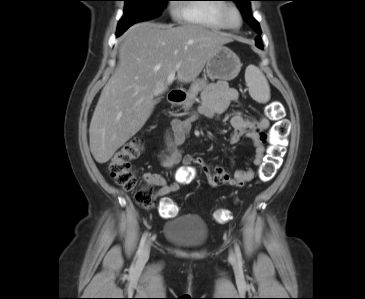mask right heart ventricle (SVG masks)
<instances>
[{"label": "right heart ventricle", "mask_w": 365, "mask_h": 299, "mask_svg": "<svg viewBox=\"0 0 365 299\" xmlns=\"http://www.w3.org/2000/svg\"><path fill=\"white\" fill-rule=\"evenodd\" d=\"M193 2L181 5L177 17L180 21L209 29H223L220 12L225 5L224 0H188Z\"/></svg>", "instance_id": "right-heart-ventricle-1"}]
</instances>
